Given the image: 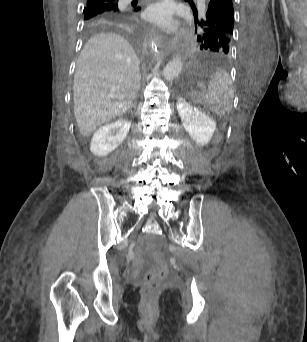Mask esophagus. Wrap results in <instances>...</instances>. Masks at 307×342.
Instances as JSON below:
<instances>
[{"label":"esophagus","instance_id":"1","mask_svg":"<svg viewBox=\"0 0 307 342\" xmlns=\"http://www.w3.org/2000/svg\"><path fill=\"white\" fill-rule=\"evenodd\" d=\"M154 40H155L156 46H158V48H161V50L164 53L169 54L171 52L170 47L164 44L163 38L159 33H156L154 35Z\"/></svg>","mask_w":307,"mask_h":342}]
</instances>
